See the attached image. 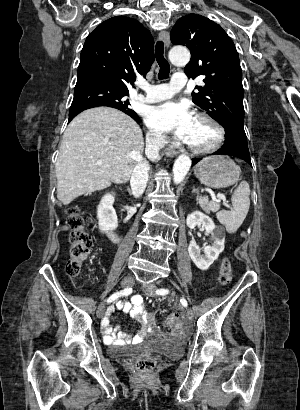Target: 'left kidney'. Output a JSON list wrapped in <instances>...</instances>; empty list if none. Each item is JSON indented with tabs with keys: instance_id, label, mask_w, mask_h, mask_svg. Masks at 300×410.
Wrapping results in <instances>:
<instances>
[{
	"instance_id": "left-kidney-1",
	"label": "left kidney",
	"mask_w": 300,
	"mask_h": 410,
	"mask_svg": "<svg viewBox=\"0 0 300 410\" xmlns=\"http://www.w3.org/2000/svg\"><path fill=\"white\" fill-rule=\"evenodd\" d=\"M186 224L190 229H194L196 226H202L207 233L211 234L214 242L211 246L204 247V255L201 254V249L195 240H191L188 247L189 256L193 263L199 269L207 270L224 250L225 232L222 228L216 227L213 220L200 211L189 214L186 219Z\"/></svg>"
}]
</instances>
